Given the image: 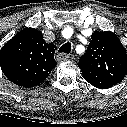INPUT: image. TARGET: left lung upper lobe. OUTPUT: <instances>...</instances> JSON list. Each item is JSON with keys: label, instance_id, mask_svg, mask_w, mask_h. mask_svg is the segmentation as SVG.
I'll return each instance as SVG.
<instances>
[{"label": "left lung upper lobe", "instance_id": "obj_1", "mask_svg": "<svg viewBox=\"0 0 127 127\" xmlns=\"http://www.w3.org/2000/svg\"><path fill=\"white\" fill-rule=\"evenodd\" d=\"M78 66L91 85L100 89L110 88L127 74V53L115 33L94 32Z\"/></svg>", "mask_w": 127, "mask_h": 127}]
</instances>
